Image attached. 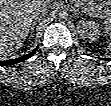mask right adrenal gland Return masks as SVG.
I'll return each mask as SVG.
<instances>
[{
  "instance_id": "right-adrenal-gland-1",
  "label": "right adrenal gland",
  "mask_w": 111,
  "mask_h": 106,
  "mask_svg": "<svg viewBox=\"0 0 111 106\" xmlns=\"http://www.w3.org/2000/svg\"><path fill=\"white\" fill-rule=\"evenodd\" d=\"M38 23V20H35L31 26H30V31H29V39L33 36V33H34V27L35 25Z\"/></svg>"
}]
</instances>
